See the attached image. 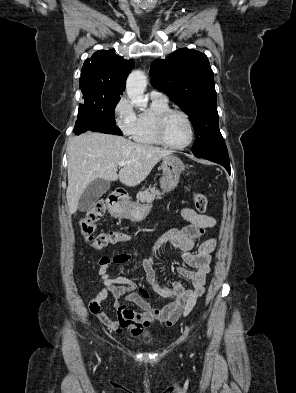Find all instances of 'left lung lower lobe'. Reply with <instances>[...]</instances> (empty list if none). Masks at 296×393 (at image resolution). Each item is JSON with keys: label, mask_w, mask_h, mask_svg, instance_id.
Instances as JSON below:
<instances>
[{"label": "left lung lower lobe", "mask_w": 296, "mask_h": 393, "mask_svg": "<svg viewBox=\"0 0 296 393\" xmlns=\"http://www.w3.org/2000/svg\"><path fill=\"white\" fill-rule=\"evenodd\" d=\"M196 157L204 158L221 164L230 174V163L227 150H213L204 153H193Z\"/></svg>", "instance_id": "left-lung-lower-lobe-1"}]
</instances>
